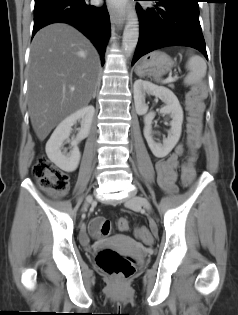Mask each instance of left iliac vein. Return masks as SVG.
<instances>
[{
	"label": "left iliac vein",
	"instance_id": "left-iliac-vein-1",
	"mask_svg": "<svg viewBox=\"0 0 238 315\" xmlns=\"http://www.w3.org/2000/svg\"><path fill=\"white\" fill-rule=\"evenodd\" d=\"M125 205L129 208L143 207L146 211L151 212V205L148 200L138 195H130L125 199Z\"/></svg>",
	"mask_w": 238,
	"mask_h": 315
}]
</instances>
